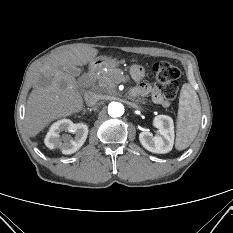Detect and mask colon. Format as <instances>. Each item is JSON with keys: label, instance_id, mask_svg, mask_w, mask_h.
<instances>
[{"label": "colon", "instance_id": "1", "mask_svg": "<svg viewBox=\"0 0 233 233\" xmlns=\"http://www.w3.org/2000/svg\"><path fill=\"white\" fill-rule=\"evenodd\" d=\"M153 70L156 80L163 84L162 95L166 99H174L178 92L179 69L169 62L160 61L154 65Z\"/></svg>", "mask_w": 233, "mask_h": 233}]
</instances>
